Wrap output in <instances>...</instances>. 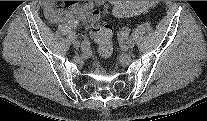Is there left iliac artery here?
Segmentation results:
<instances>
[{"label": "left iliac artery", "mask_w": 207, "mask_h": 121, "mask_svg": "<svg viewBox=\"0 0 207 121\" xmlns=\"http://www.w3.org/2000/svg\"><path fill=\"white\" fill-rule=\"evenodd\" d=\"M129 31H130V30H129L128 27H126V26L123 27L122 30L118 33V38H119V40L122 41V42H124V43L127 42L128 39H129L128 36H127L128 33H129ZM131 40H133V39H130V41H131Z\"/></svg>", "instance_id": "left-iliac-artery-1"}]
</instances>
